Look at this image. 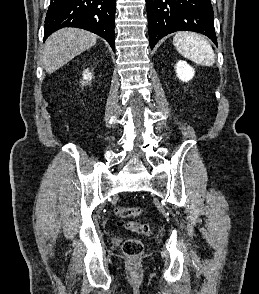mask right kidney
<instances>
[{"label": "right kidney", "instance_id": "1", "mask_svg": "<svg viewBox=\"0 0 259 294\" xmlns=\"http://www.w3.org/2000/svg\"><path fill=\"white\" fill-rule=\"evenodd\" d=\"M83 79L88 81V80H91L92 79V76H91V73L88 72V70H86L83 74Z\"/></svg>", "mask_w": 259, "mask_h": 294}]
</instances>
